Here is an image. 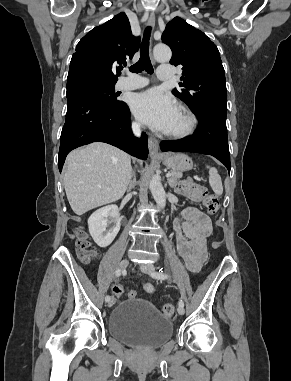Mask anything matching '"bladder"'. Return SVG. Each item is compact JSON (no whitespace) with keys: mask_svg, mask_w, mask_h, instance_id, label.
Returning a JSON list of instances; mask_svg holds the SVG:
<instances>
[{"mask_svg":"<svg viewBox=\"0 0 291 381\" xmlns=\"http://www.w3.org/2000/svg\"><path fill=\"white\" fill-rule=\"evenodd\" d=\"M107 330L119 342L155 349L171 339L173 324L149 300L135 297L115 306L109 314Z\"/></svg>","mask_w":291,"mask_h":381,"instance_id":"bladder-1","label":"bladder"}]
</instances>
